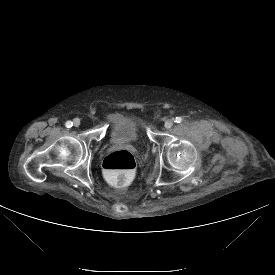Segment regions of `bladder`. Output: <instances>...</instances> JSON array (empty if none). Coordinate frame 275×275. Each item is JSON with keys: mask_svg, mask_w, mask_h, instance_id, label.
Returning <instances> with one entry per match:
<instances>
[{"mask_svg": "<svg viewBox=\"0 0 275 275\" xmlns=\"http://www.w3.org/2000/svg\"><path fill=\"white\" fill-rule=\"evenodd\" d=\"M109 137L115 142H133L141 131V120L135 114L116 111L109 118Z\"/></svg>", "mask_w": 275, "mask_h": 275, "instance_id": "31cf9c89", "label": "bladder"}]
</instances>
